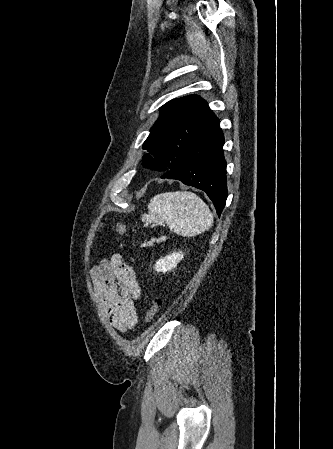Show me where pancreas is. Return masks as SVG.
Masks as SVG:
<instances>
[{
    "instance_id": "1",
    "label": "pancreas",
    "mask_w": 333,
    "mask_h": 449,
    "mask_svg": "<svg viewBox=\"0 0 333 449\" xmlns=\"http://www.w3.org/2000/svg\"><path fill=\"white\" fill-rule=\"evenodd\" d=\"M154 242H155V239H152L151 241L148 242V246L153 245ZM157 242H160V240H157Z\"/></svg>"
}]
</instances>
